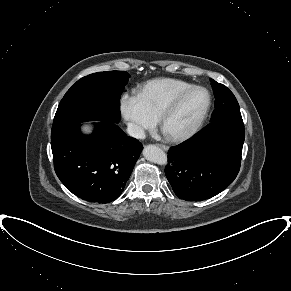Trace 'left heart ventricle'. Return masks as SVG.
Here are the masks:
<instances>
[{
    "label": "left heart ventricle",
    "instance_id": "b2bd125f",
    "mask_svg": "<svg viewBox=\"0 0 291 291\" xmlns=\"http://www.w3.org/2000/svg\"><path fill=\"white\" fill-rule=\"evenodd\" d=\"M207 94L203 90L190 93L171 114L165 123L167 134H180L189 130L203 112L207 104Z\"/></svg>",
    "mask_w": 291,
    "mask_h": 291
}]
</instances>
